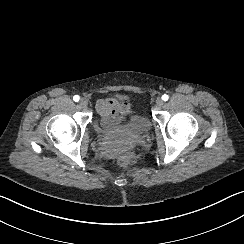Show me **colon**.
Returning <instances> with one entry per match:
<instances>
[{
  "label": "colon",
  "instance_id": "1",
  "mask_svg": "<svg viewBox=\"0 0 244 244\" xmlns=\"http://www.w3.org/2000/svg\"><path fill=\"white\" fill-rule=\"evenodd\" d=\"M117 163L120 166H128L131 163V158L128 155H120L117 158Z\"/></svg>",
  "mask_w": 244,
  "mask_h": 244
}]
</instances>
